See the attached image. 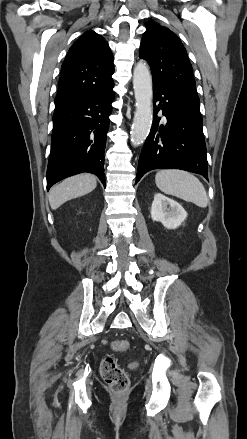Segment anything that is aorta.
Wrapping results in <instances>:
<instances>
[{
  "label": "aorta",
  "instance_id": "762f6f07",
  "mask_svg": "<svg viewBox=\"0 0 247 439\" xmlns=\"http://www.w3.org/2000/svg\"><path fill=\"white\" fill-rule=\"evenodd\" d=\"M133 88L136 100V111L131 128V143L141 145L147 138L153 119L152 110V77L146 63L140 61L134 68Z\"/></svg>",
  "mask_w": 247,
  "mask_h": 439
}]
</instances>
